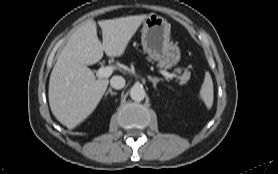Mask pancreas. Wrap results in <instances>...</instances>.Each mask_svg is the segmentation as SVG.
Segmentation results:
<instances>
[{
  "instance_id": "1",
  "label": "pancreas",
  "mask_w": 278,
  "mask_h": 174,
  "mask_svg": "<svg viewBox=\"0 0 278 174\" xmlns=\"http://www.w3.org/2000/svg\"><path fill=\"white\" fill-rule=\"evenodd\" d=\"M159 66L160 67H165V68H169L170 66L169 65H166L164 63H159ZM178 73L181 72V69H177L176 70ZM190 78V74L189 73H184L181 77H180V80H181V83L185 84L187 83V81L189 80Z\"/></svg>"
}]
</instances>
